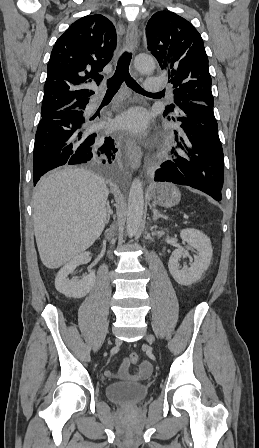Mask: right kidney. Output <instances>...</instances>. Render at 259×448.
Here are the masks:
<instances>
[{"mask_svg":"<svg viewBox=\"0 0 259 448\" xmlns=\"http://www.w3.org/2000/svg\"><path fill=\"white\" fill-rule=\"evenodd\" d=\"M89 256L90 252H83V254L76 256V258H73L71 262H68L59 270L55 278V288L60 294H64L67 298H84V296L89 294L94 286L95 272H90L82 280H76V278L69 280L68 278L69 274H72L73 270H76L77 266L83 264Z\"/></svg>","mask_w":259,"mask_h":448,"instance_id":"right-kidney-1","label":"right kidney"}]
</instances>
